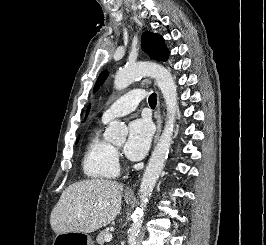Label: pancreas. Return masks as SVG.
<instances>
[{"label": "pancreas", "mask_w": 266, "mask_h": 245, "mask_svg": "<svg viewBox=\"0 0 266 245\" xmlns=\"http://www.w3.org/2000/svg\"><path fill=\"white\" fill-rule=\"evenodd\" d=\"M112 231H110V229H105V231H100L98 237H96V241L98 243V245H104L105 241V237L106 235H111Z\"/></svg>", "instance_id": "obj_1"}]
</instances>
